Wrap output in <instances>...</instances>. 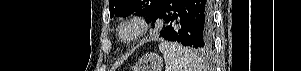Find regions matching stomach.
<instances>
[{
	"label": "stomach",
	"instance_id": "obj_1",
	"mask_svg": "<svg viewBox=\"0 0 301 71\" xmlns=\"http://www.w3.org/2000/svg\"><path fill=\"white\" fill-rule=\"evenodd\" d=\"M163 59L156 53L143 55L134 66V71H161Z\"/></svg>",
	"mask_w": 301,
	"mask_h": 71
}]
</instances>
